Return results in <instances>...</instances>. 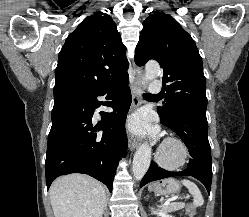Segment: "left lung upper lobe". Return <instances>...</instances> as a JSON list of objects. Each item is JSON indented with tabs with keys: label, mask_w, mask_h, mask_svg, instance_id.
I'll return each mask as SVG.
<instances>
[{
	"label": "left lung upper lobe",
	"mask_w": 249,
	"mask_h": 217,
	"mask_svg": "<svg viewBox=\"0 0 249 217\" xmlns=\"http://www.w3.org/2000/svg\"><path fill=\"white\" fill-rule=\"evenodd\" d=\"M154 59L163 68L164 104L157 111L171 122L177 111L206 112V80L203 64L192 37L170 15L154 13L143 22L135 51L138 66Z\"/></svg>",
	"instance_id": "obj_1"
}]
</instances>
